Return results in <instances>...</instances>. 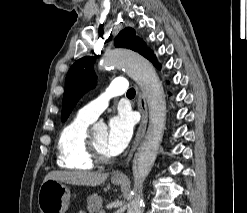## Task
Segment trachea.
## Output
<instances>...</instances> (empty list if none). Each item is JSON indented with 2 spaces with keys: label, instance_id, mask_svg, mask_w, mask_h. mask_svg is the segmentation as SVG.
I'll use <instances>...</instances> for the list:
<instances>
[{
  "label": "trachea",
  "instance_id": "trachea-1",
  "mask_svg": "<svg viewBox=\"0 0 247 213\" xmlns=\"http://www.w3.org/2000/svg\"><path fill=\"white\" fill-rule=\"evenodd\" d=\"M127 95H135V89L131 88L127 91Z\"/></svg>",
  "mask_w": 247,
  "mask_h": 213
}]
</instances>
